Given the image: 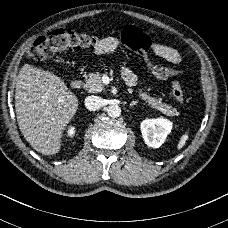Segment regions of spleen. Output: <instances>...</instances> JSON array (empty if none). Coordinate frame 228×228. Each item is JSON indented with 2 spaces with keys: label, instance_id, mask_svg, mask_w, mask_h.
<instances>
[{
  "label": "spleen",
  "instance_id": "1",
  "mask_svg": "<svg viewBox=\"0 0 228 228\" xmlns=\"http://www.w3.org/2000/svg\"><path fill=\"white\" fill-rule=\"evenodd\" d=\"M187 140H188V135L187 134L182 135L181 138H180V141L178 143L177 148L181 149L185 145Z\"/></svg>",
  "mask_w": 228,
  "mask_h": 228
}]
</instances>
